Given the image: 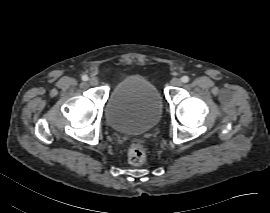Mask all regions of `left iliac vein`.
<instances>
[{
	"label": "left iliac vein",
	"mask_w": 270,
	"mask_h": 213,
	"mask_svg": "<svg viewBox=\"0 0 270 213\" xmlns=\"http://www.w3.org/2000/svg\"><path fill=\"white\" fill-rule=\"evenodd\" d=\"M170 83L172 86H181L182 81L179 78H173Z\"/></svg>",
	"instance_id": "4c4485c4"
}]
</instances>
